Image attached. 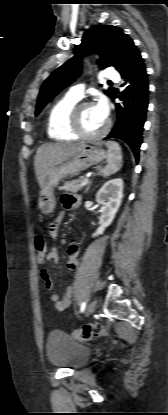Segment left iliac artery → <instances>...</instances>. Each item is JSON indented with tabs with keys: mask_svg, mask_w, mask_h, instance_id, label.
I'll return each mask as SVG.
<instances>
[{
	"mask_svg": "<svg viewBox=\"0 0 168 415\" xmlns=\"http://www.w3.org/2000/svg\"><path fill=\"white\" fill-rule=\"evenodd\" d=\"M85 307H86V303L85 302H82L81 303L80 311L83 312L85 310Z\"/></svg>",
	"mask_w": 168,
	"mask_h": 415,
	"instance_id": "44dca946",
	"label": "left iliac artery"
}]
</instances>
